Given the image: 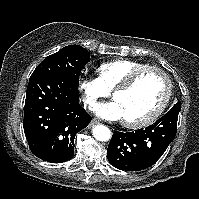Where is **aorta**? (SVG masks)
Returning <instances> with one entry per match:
<instances>
[{"label": "aorta", "mask_w": 199, "mask_h": 199, "mask_svg": "<svg viewBox=\"0 0 199 199\" xmlns=\"http://www.w3.org/2000/svg\"><path fill=\"white\" fill-rule=\"evenodd\" d=\"M92 134H93L94 138L99 141H108L111 138L110 129L103 125L95 126L92 129Z\"/></svg>", "instance_id": "1"}]
</instances>
